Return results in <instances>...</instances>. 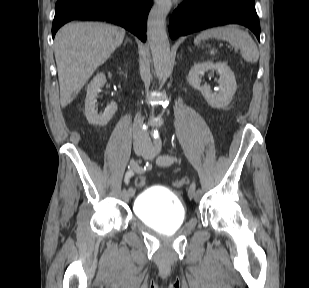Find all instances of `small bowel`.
<instances>
[{
	"instance_id": "1",
	"label": "small bowel",
	"mask_w": 309,
	"mask_h": 288,
	"mask_svg": "<svg viewBox=\"0 0 309 288\" xmlns=\"http://www.w3.org/2000/svg\"><path fill=\"white\" fill-rule=\"evenodd\" d=\"M133 173L132 172H128L127 173V180H129L132 177Z\"/></svg>"
}]
</instances>
